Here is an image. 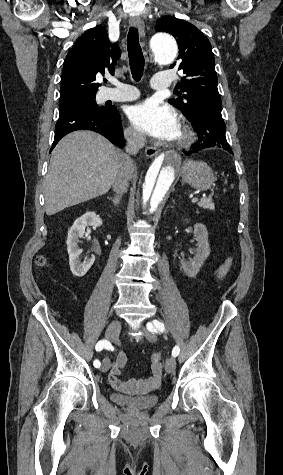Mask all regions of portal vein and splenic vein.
Instances as JSON below:
<instances>
[{
  "mask_svg": "<svg viewBox=\"0 0 283 475\" xmlns=\"http://www.w3.org/2000/svg\"><path fill=\"white\" fill-rule=\"evenodd\" d=\"M198 196L196 198H193L192 202H198Z\"/></svg>",
  "mask_w": 283,
  "mask_h": 475,
  "instance_id": "1",
  "label": "portal vein and splenic vein"
}]
</instances>
